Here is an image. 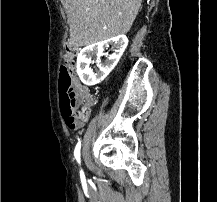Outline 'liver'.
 <instances>
[{
  "label": "liver",
  "mask_w": 217,
  "mask_h": 202,
  "mask_svg": "<svg viewBox=\"0 0 217 202\" xmlns=\"http://www.w3.org/2000/svg\"><path fill=\"white\" fill-rule=\"evenodd\" d=\"M68 14V46H89L129 32L142 0H61Z\"/></svg>",
  "instance_id": "liver-1"
}]
</instances>
